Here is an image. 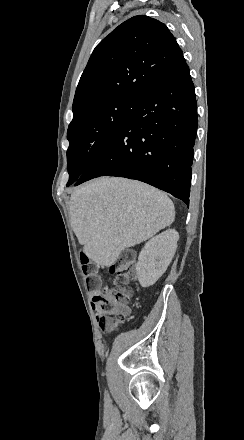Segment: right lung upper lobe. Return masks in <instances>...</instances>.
I'll return each mask as SVG.
<instances>
[{
	"label": "right lung upper lobe",
	"instance_id": "right-lung-upper-lobe-1",
	"mask_svg": "<svg viewBox=\"0 0 244 440\" xmlns=\"http://www.w3.org/2000/svg\"><path fill=\"white\" fill-rule=\"evenodd\" d=\"M184 62L182 50L165 24L134 16L94 49L78 83L73 108L111 97H142Z\"/></svg>",
	"mask_w": 244,
	"mask_h": 440
}]
</instances>
